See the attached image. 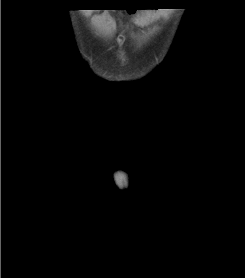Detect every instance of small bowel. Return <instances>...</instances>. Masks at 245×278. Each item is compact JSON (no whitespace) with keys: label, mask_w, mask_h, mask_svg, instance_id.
<instances>
[{"label":"small bowel","mask_w":245,"mask_h":278,"mask_svg":"<svg viewBox=\"0 0 245 278\" xmlns=\"http://www.w3.org/2000/svg\"><path fill=\"white\" fill-rule=\"evenodd\" d=\"M114 1H117V0H114ZM120 1H124V0H120ZM114 3H116V2H114Z\"/></svg>","instance_id":"1"}]
</instances>
